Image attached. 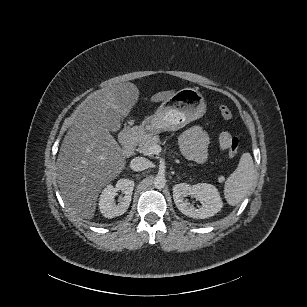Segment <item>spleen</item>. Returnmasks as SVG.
Segmentation results:
<instances>
[{
  "mask_svg": "<svg viewBox=\"0 0 307 307\" xmlns=\"http://www.w3.org/2000/svg\"><path fill=\"white\" fill-rule=\"evenodd\" d=\"M256 180L252 156L243 153L236 170L225 181L224 196L227 203L235 206L241 202L255 190Z\"/></svg>",
  "mask_w": 307,
  "mask_h": 307,
  "instance_id": "obj_1",
  "label": "spleen"
}]
</instances>
